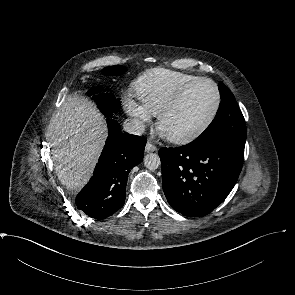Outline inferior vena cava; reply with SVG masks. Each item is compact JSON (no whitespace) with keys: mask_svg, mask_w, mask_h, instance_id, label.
Instances as JSON below:
<instances>
[{"mask_svg":"<svg viewBox=\"0 0 295 295\" xmlns=\"http://www.w3.org/2000/svg\"><path fill=\"white\" fill-rule=\"evenodd\" d=\"M123 128L127 133L133 135H142L145 131V125L139 119H126Z\"/></svg>","mask_w":295,"mask_h":295,"instance_id":"602c4592","label":"inferior vena cava"}]
</instances>
